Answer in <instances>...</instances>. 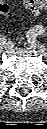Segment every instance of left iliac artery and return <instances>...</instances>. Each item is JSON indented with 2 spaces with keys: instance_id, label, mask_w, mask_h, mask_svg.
I'll return each instance as SVG.
<instances>
[{
  "instance_id": "obj_1",
  "label": "left iliac artery",
  "mask_w": 47,
  "mask_h": 129,
  "mask_svg": "<svg viewBox=\"0 0 47 129\" xmlns=\"http://www.w3.org/2000/svg\"><path fill=\"white\" fill-rule=\"evenodd\" d=\"M43 32H44L43 26L38 25V26H35L32 29H30L27 37H29V38L35 37V36L41 35Z\"/></svg>"
}]
</instances>
